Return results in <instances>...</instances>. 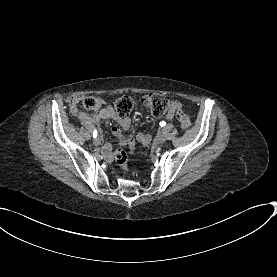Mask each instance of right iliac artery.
Instances as JSON below:
<instances>
[{
    "label": "right iliac artery",
    "mask_w": 277,
    "mask_h": 277,
    "mask_svg": "<svg viewBox=\"0 0 277 277\" xmlns=\"http://www.w3.org/2000/svg\"><path fill=\"white\" fill-rule=\"evenodd\" d=\"M93 137L96 138L97 137V130L95 129L93 132Z\"/></svg>",
    "instance_id": "right-iliac-artery-1"
}]
</instances>
